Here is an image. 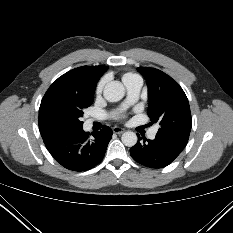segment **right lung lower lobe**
<instances>
[{
    "label": "right lung lower lobe",
    "mask_w": 233,
    "mask_h": 233,
    "mask_svg": "<svg viewBox=\"0 0 233 233\" xmlns=\"http://www.w3.org/2000/svg\"><path fill=\"white\" fill-rule=\"evenodd\" d=\"M89 137L83 127L56 137L45 144L50 154L63 167L73 171H87L99 164L112 138V130L104 126Z\"/></svg>",
    "instance_id": "1"
}]
</instances>
